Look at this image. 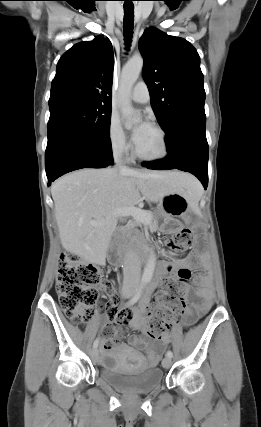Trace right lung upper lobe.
Returning a JSON list of instances; mask_svg holds the SVG:
<instances>
[{"label":"right lung upper lobe","instance_id":"1","mask_svg":"<svg viewBox=\"0 0 261 427\" xmlns=\"http://www.w3.org/2000/svg\"><path fill=\"white\" fill-rule=\"evenodd\" d=\"M113 67L109 40L96 37L75 44L58 61L49 108L67 104L111 106Z\"/></svg>","mask_w":261,"mask_h":427}]
</instances>
